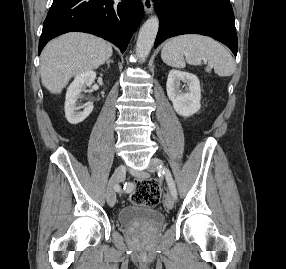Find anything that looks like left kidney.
I'll list each match as a JSON object with an SVG mask.
<instances>
[{"label": "left kidney", "instance_id": "obj_1", "mask_svg": "<svg viewBox=\"0 0 286 269\" xmlns=\"http://www.w3.org/2000/svg\"><path fill=\"white\" fill-rule=\"evenodd\" d=\"M181 82L188 86L185 92L180 90ZM166 90L177 114L188 117L200 110L201 89L196 75L171 70L167 78Z\"/></svg>", "mask_w": 286, "mask_h": 269}]
</instances>
